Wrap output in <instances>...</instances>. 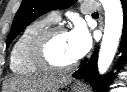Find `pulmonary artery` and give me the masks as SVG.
I'll return each mask as SVG.
<instances>
[{
	"label": "pulmonary artery",
	"mask_w": 127,
	"mask_h": 92,
	"mask_svg": "<svg viewBox=\"0 0 127 92\" xmlns=\"http://www.w3.org/2000/svg\"><path fill=\"white\" fill-rule=\"evenodd\" d=\"M97 10H99V5L94 2L84 3L80 9L81 13H83V14L94 13ZM49 17L51 20L57 21L60 19V14H59V12L55 11V12L51 13V15Z\"/></svg>",
	"instance_id": "e3ab8cb5"
}]
</instances>
